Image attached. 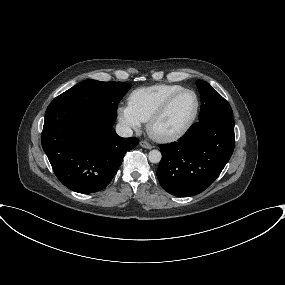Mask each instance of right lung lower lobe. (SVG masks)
<instances>
[{"label": "right lung lower lobe", "mask_w": 285, "mask_h": 285, "mask_svg": "<svg viewBox=\"0 0 285 285\" xmlns=\"http://www.w3.org/2000/svg\"><path fill=\"white\" fill-rule=\"evenodd\" d=\"M116 118L78 102L55 98L48 106L42 147L58 180L83 194L97 192L112 180L128 150L139 140L122 138Z\"/></svg>", "instance_id": "right-lung-lower-lobe-1"}]
</instances>
